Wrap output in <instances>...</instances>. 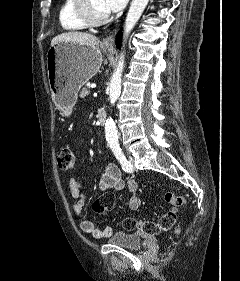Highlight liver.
Masks as SVG:
<instances>
[{
  "label": "liver",
  "mask_w": 240,
  "mask_h": 281,
  "mask_svg": "<svg viewBox=\"0 0 240 281\" xmlns=\"http://www.w3.org/2000/svg\"><path fill=\"white\" fill-rule=\"evenodd\" d=\"M62 41L74 42V43H79L88 46H96L100 43V40L96 36L91 35L89 33L76 31V32H66L57 35L52 39L51 46Z\"/></svg>",
  "instance_id": "6515ba94"
}]
</instances>
